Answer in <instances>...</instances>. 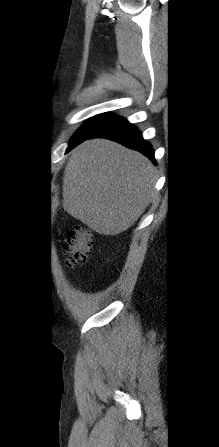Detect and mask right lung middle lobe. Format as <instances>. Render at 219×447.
Segmentation results:
<instances>
[{"mask_svg": "<svg viewBox=\"0 0 219 447\" xmlns=\"http://www.w3.org/2000/svg\"><path fill=\"white\" fill-rule=\"evenodd\" d=\"M117 119H119V117L108 113L100 114L93 117L71 138L70 146L80 140H83L84 138L94 135Z\"/></svg>", "mask_w": 219, "mask_h": 447, "instance_id": "dd1d6c3e", "label": "right lung middle lobe"}]
</instances>
